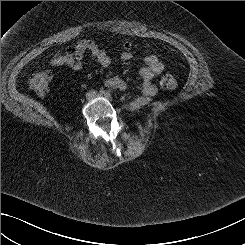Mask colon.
<instances>
[{
    "instance_id": "5ec220e1",
    "label": "colon",
    "mask_w": 245,
    "mask_h": 245,
    "mask_svg": "<svg viewBox=\"0 0 245 245\" xmlns=\"http://www.w3.org/2000/svg\"><path fill=\"white\" fill-rule=\"evenodd\" d=\"M124 49L126 51H132L137 49V45L126 42L124 44ZM67 51L71 52V48L67 49ZM51 82L52 73L47 69L39 70L29 75L27 79L29 88L41 98H45L49 95ZM160 85L163 89L173 90L177 87V79L171 74H166L161 78Z\"/></svg>"
}]
</instances>
